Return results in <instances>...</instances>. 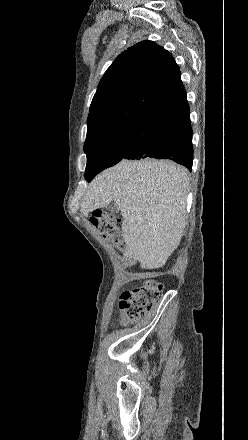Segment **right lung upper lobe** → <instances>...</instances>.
<instances>
[{
  "mask_svg": "<svg viewBox=\"0 0 248 440\" xmlns=\"http://www.w3.org/2000/svg\"><path fill=\"white\" fill-rule=\"evenodd\" d=\"M185 95L172 55L152 41L135 44L115 59L99 83L90 105L84 148L128 130Z\"/></svg>",
  "mask_w": 248,
  "mask_h": 440,
  "instance_id": "obj_1",
  "label": "right lung upper lobe"
}]
</instances>
